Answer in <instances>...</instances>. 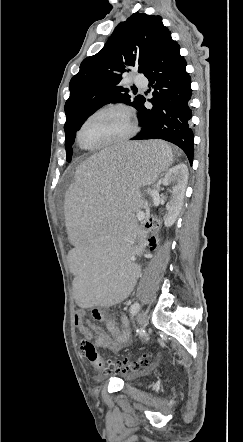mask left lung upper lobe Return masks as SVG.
I'll use <instances>...</instances> for the list:
<instances>
[{"label": "left lung upper lobe", "mask_w": 243, "mask_h": 442, "mask_svg": "<svg viewBox=\"0 0 243 442\" xmlns=\"http://www.w3.org/2000/svg\"><path fill=\"white\" fill-rule=\"evenodd\" d=\"M169 34L160 16L136 12L118 24L97 54L82 61L70 81L71 95L65 104L68 162L76 132L103 105L124 102L139 110L145 98L138 95L131 100L129 90L119 85L122 75L132 70L144 74Z\"/></svg>", "instance_id": "obj_1"}]
</instances>
